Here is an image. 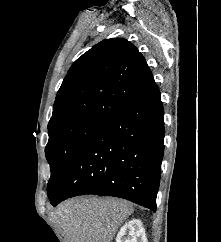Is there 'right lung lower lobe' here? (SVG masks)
I'll use <instances>...</instances> for the list:
<instances>
[{"label":"right lung lower lobe","mask_w":221,"mask_h":242,"mask_svg":"<svg viewBox=\"0 0 221 242\" xmlns=\"http://www.w3.org/2000/svg\"><path fill=\"white\" fill-rule=\"evenodd\" d=\"M163 116L155 83L87 137L49 192L51 204L95 194L124 198L155 211L164 152Z\"/></svg>","instance_id":"98d812e1"}]
</instances>
